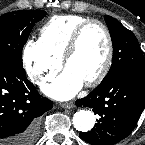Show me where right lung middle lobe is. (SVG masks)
Returning <instances> with one entry per match:
<instances>
[{
	"mask_svg": "<svg viewBox=\"0 0 145 145\" xmlns=\"http://www.w3.org/2000/svg\"><path fill=\"white\" fill-rule=\"evenodd\" d=\"M46 15L43 10H25L0 16V64H22V49L36 22Z\"/></svg>",
	"mask_w": 145,
	"mask_h": 145,
	"instance_id": "right-lung-middle-lobe-1",
	"label": "right lung middle lobe"
}]
</instances>
